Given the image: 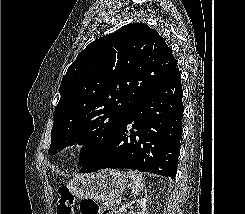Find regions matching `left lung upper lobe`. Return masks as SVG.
<instances>
[{
  "instance_id": "5c2ea615",
  "label": "left lung upper lobe",
  "mask_w": 245,
  "mask_h": 214,
  "mask_svg": "<svg viewBox=\"0 0 245 214\" xmlns=\"http://www.w3.org/2000/svg\"><path fill=\"white\" fill-rule=\"evenodd\" d=\"M176 67L164 38L146 24L125 25L87 45L62 79L48 153L85 144L83 165Z\"/></svg>"
}]
</instances>
